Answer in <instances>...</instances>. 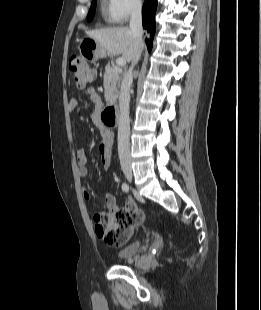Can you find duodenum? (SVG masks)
<instances>
[{
    "instance_id": "obj_1",
    "label": "duodenum",
    "mask_w": 261,
    "mask_h": 310,
    "mask_svg": "<svg viewBox=\"0 0 261 310\" xmlns=\"http://www.w3.org/2000/svg\"><path fill=\"white\" fill-rule=\"evenodd\" d=\"M102 122L107 127H114L117 123V107L114 104L107 105L101 114Z\"/></svg>"
}]
</instances>
